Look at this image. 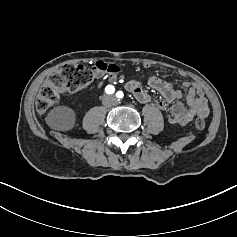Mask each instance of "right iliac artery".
Returning <instances> with one entry per match:
<instances>
[{
	"instance_id": "right-iliac-artery-1",
	"label": "right iliac artery",
	"mask_w": 237,
	"mask_h": 237,
	"mask_svg": "<svg viewBox=\"0 0 237 237\" xmlns=\"http://www.w3.org/2000/svg\"><path fill=\"white\" fill-rule=\"evenodd\" d=\"M105 91L107 94H112V93H114L115 88L112 85H108V86H106Z\"/></svg>"
}]
</instances>
